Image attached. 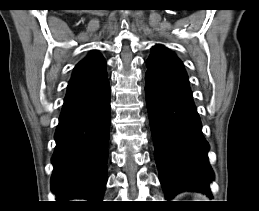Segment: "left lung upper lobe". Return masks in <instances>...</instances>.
Listing matches in <instances>:
<instances>
[{
  "instance_id": "left-lung-upper-lobe-1",
  "label": "left lung upper lobe",
  "mask_w": 259,
  "mask_h": 211,
  "mask_svg": "<svg viewBox=\"0 0 259 211\" xmlns=\"http://www.w3.org/2000/svg\"><path fill=\"white\" fill-rule=\"evenodd\" d=\"M147 60L145 77L168 86L189 88L188 76L182 62L166 47L155 45Z\"/></svg>"
}]
</instances>
